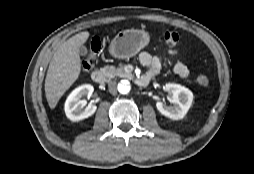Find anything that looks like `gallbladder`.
Returning a JSON list of instances; mask_svg holds the SVG:
<instances>
[{
    "mask_svg": "<svg viewBox=\"0 0 254 174\" xmlns=\"http://www.w3.org/2000/svg\"><path fill=\"white\" fill-rule=\"evenodd\" d=\"M79 53L84 56V55H86L88 53V50H87V48L84 45H82L79 48Z\"/></svg>",
    "mask_w": 254,
    "mask_h": 174,
    "instance_id": "1",
    "label": "gallbladder"
}]
</instances>
